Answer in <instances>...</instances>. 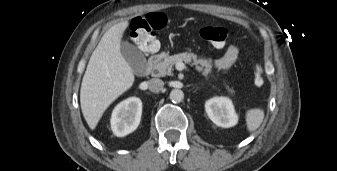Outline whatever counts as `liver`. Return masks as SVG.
<instances>
[{
	"label": "liver",
	"mask_w": 337,
	"mask_h": 171,
	"mask_svg": "<svg viewBox=\"0 0 337 171\" xmlns=\"http://www.w3.org/2000/svg\"><path fill=\"white\" fill-rule=\"evenodd\" d=\"M128 21L113 25L93 51L83 76L80 104L88 126L96 128L105 110L130 89L135 77L121 53V39Z\"/></svg>",
	"instance_id": "1"
}]
</instances>
